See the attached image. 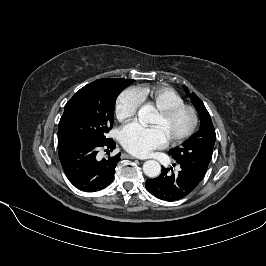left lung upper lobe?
<instances>
[{"mask_svg":"<svg viewBox=\"0 0 266 266\" xmlns=\"http://www.w3.org/2000/svg\"><path fill=\"white\" fill-rule=\"evenodd\" d=\"M185 90L188 92L186 87ZM190 99L201 120L200 130L182 143L181 146L171 149L168 154L178 164L187 167L195 175L203 179L212 158L216 134L210 115L203 102L195 93L190 95Z\"/></svg>","mask_w":266,"mask_h":266,"instance_id":"5c2ea615","label":"left lung upper lobe"}]
</instances>
